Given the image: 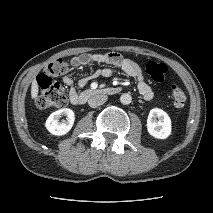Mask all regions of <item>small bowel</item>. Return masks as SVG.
Instances as JSON below:
<instances>
[{"label":"small bowel","instance_id":"1","mask_svg":"<svg viewBox=\"0 0 213 213\" xmlns=\"http://www.w3.org/2000/svg\"><path fill=\"white\" fill-rule=\"evenodd\" d=\"M90 64H112L118 66L128 76L134 78L137 82V87L145 100H151L154 96L153 89L147 83L142 67L139 63L129 57L122 56L116 52L110 53H84L74 56L71 59V65L74 67H81ZM114 71L111 67H103L96 70L93 74L80 78L76 83L70 75H64L62 80L65 86L69 89V100L72 104H77L78 92L77 87H84L91 79L96 77L109 78Z\"/></svg>","mask_w":213,"mask_h":213}]
</instances>
